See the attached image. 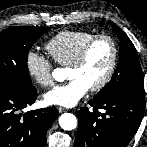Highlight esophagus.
Wrapping results in <instances>:
<instances>
[{
	"mask_svg": "<svg viewBox=\"0 0 147 147\" xmlns=\"http://www.w3.org/2000/svg\"><path fill=\"white\" fill-rule=\"evenodd\" d=\"M65 111H67V109H65V108H63V107H58V112H59V113H63V112H65Z\"/></svg>",
	"mask_w": 147,
	"mask_h": 147,
	"instance_id": "1",
	"label": "esophagus"
}]
</instances>
